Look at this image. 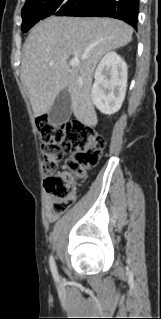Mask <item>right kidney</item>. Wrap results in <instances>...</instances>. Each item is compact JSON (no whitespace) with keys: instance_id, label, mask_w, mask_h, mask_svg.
Here are the masks:
<instances>
[{"instance_id":"obj_1","label":"right kidney","mask_w":161,"mask_h":319,"mask_svg":"<svg viewBox=\"0 0 161 319\" xmlns=\"http://www.w3.org/2000/svg\"><path fill=\"white\" fill-rule=\"evenodd\" d=\"M91 99L97 109L107 115L116 113L122 106L127 89V65L116 53H107L99 62L94 74Z\"/></svg>"}]
</instances>
